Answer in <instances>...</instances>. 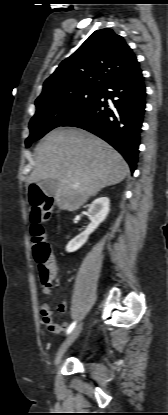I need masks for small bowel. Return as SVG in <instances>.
Instances as JSON below:
<instances>
[{"mask_svg":"<svg viewBox=\"0 0 168 415\" xmlns=\"http://www.w3.org/2000/svg\"><path fill=\"white\" fill-rule=\"evenodd\" d=\"M51 288L60 289L61 286L58 282L56 284L52 285V286L44 285L42 287L41 291L44 295H49L51 293ZM57 310L60 313L65 312L66 304L64 302H60L57 306ZM40 313H41L44 324L46 325V327L50 331L55 332V333H59V332H62L66 328V326H67L66 323L57 324L54 321L53 316H52V310H51L50 306L47 303H44V304L41 305Z\"/></svg>","mask_w":168,"mask_h":415,"instance_id":"c3829d8e","label":"small bowel"}]
</instances>
